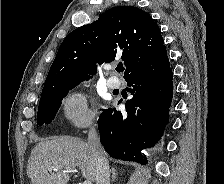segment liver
I'll list each match as a JSON object with an SVG mask.
<instances>
[{
  "label": "liver",
  "mask_w": 224,
  "mask_h": 184,
  "mask_svg": "<svg viewBox=\"0 0 224 184\" xmlns=\"http://www.w3.org/2000/svg\"><path fill=\"white\" fill-rule=\"evenodd\" d=\"M79 168L82 176L96 181L95 159L87 142L70 136H55L39 142L31 152L27 175L31 184H67L66 168ZM49 168H56L49 171Z\"/></svg>",
  "instance_id": "6515ba94"
}]
</instances>
